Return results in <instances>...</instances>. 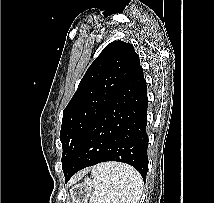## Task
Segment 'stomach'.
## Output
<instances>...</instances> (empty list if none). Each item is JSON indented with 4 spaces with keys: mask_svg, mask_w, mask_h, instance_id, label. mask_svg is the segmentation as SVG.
Segmentation results:
<instances>
[{
    "mask_svg": "<svg viewBox=\"0 0 214 203\" xmlns=\"http://www.w3.org/2000/svg\"><path fill=\"white\" fill-rule=\"evenodd\" d=\"M94 186L90 178H85L83 182L72 186L66 203H87L93 194Z\"/></svg>",
    "mask_w": 214,
    "mask_h": 203,
    "instance_id": "obj_1",
    "label": "stomach"
}]
</instances>
